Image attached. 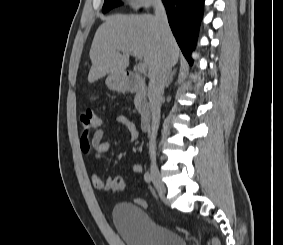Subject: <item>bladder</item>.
Here are the masks:
<instances>
[{
    "mask_svg": "<svg viewBox=\"0 0 283 245\" xmlns=\"http://www.w3.org/2000/svg\"><path fill=\"white\" fill-rule=\"evenodd\" d=\"M112 218L125 245H187L179 233L153 221L144 209L136 204H115Z\"/></svg>",
    "mask_w": 283,
    "mask_h": 245,
    "instance_id": "1",
    "label": "bladder"
}]
</instances>
